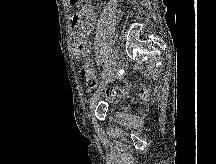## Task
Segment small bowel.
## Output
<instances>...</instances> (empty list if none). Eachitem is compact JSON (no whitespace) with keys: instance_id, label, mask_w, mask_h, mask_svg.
<instances>
[{"instance_id":"small-bowel-1","label":"small bowel","mask_w":216,"mask_h":164,"mask_svg":"<svg viewBox=\"0 0 216 164\" xmlns=\"http://www.w3.org/2000/svg\"><path fill=\"white\" fill-rule=\"evenodd\" d=\"M96 21V14L92 3L84 4L79 13L73 16L74 45L73 52L75 58L83 62L87 67H94L93 61L89 58L91 43L88 36L93 30Z\"/></svg>"}]
</instances>
